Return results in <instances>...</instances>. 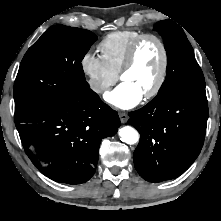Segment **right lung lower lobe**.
<instances>
[{"label": "right lung lower lobe", "instance_id": "1", "mask_svg": "<svg viewBox=\"0 0 221 221\" xmlns=\"http://www.w3.org/2000/svg\"><path fill=\"white\" fill-rule=\"evenodd\" d=\"M15 123L32 163L48 178L67 184L84 183L94 175L101 140L120 126L117 112L91 89L15 118Z\"/></svg>", "mask_w": 221, "mask_h": 221}]
</instances>
